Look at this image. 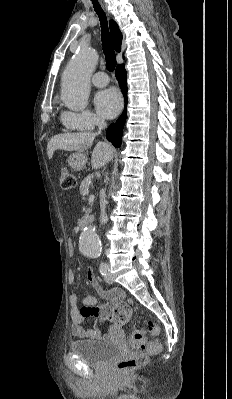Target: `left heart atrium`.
<instances>
[{"mask_svg":"<svg viewBox=\"0 0 232 399\" xmlns=\"http://www.w3.org/2000/svg\"><path fill=\"white\" fill-rule=\"evenodd\" d=\"M94 102L98 115L105 119L115 118L122 106L121 98L114 89L99 92Z\"/></svg>","mask_w":232,"mask_h":399,"instance_id":"1","label":"left heart atrium"}]
</instances>
